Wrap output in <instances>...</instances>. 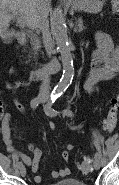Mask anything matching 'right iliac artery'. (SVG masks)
I'll use <instances>...</instances> for the list:
<instances>
[{"instance_id": "right-iliac-artery-1", "label": "right iliac artery", "mask_w": 119, "mask_h": 185, "mask_svg": "<svg viewBox=\"0 0 119 185\" xmlns=\"http://www.w3.org/2000/svg\"><path fill=\"white\" fill-rule=\"evenodd\" d=\"M55 95H52L51 97H54ZM41 102L40 97H35L34 99L31 100L30 106L32 109H35ZM23 165V163L20 161L17 163V166L20 168Z\"/></svg>"}]
</instances>
